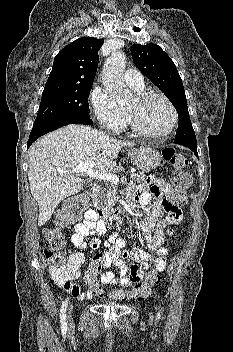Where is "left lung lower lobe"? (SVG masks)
<instances>
[{
  "label": "left lung lower lobe",
  "mask_w": 233,
  "mask_h": 352,
  "mask_svg": "<svg viewBox=\"0 0 233 352\" xmlns=\"http://www.w3.org/2000/svg\"><path fill=\"white\" fill-rule=\"evenodd\" d=\"M181 145L188 147L198 157L197 144L196 143L195 144H181Z\"/></svg>",
  "instance_id": "left-lung-lower-lobe-1"
}]
</instances>
